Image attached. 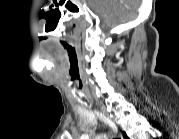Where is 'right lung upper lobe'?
Wrapping results in <instances>:
<instances>
[{
	"label": "right lung upper lobe",
	"instance_id": "obj_1",
	"mask_svg": "<svg viewBox=\"0 0 179 139\" xmlns=\"http://www.w3.org/2000/svg\"><path fill=\"white\" fill-rule=\"evenodd\" d=\"M124 137L127 138L126 134L124 133Z\"/></svg>",
	"mask_w": 179,
	"mask_h": 139
}]
</instances>
